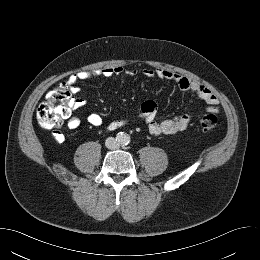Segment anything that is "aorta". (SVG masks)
<instances>
[{"label": "aorta", "mask_w": 260, "mask_h": 260, "mask_svg": "<svg viewBox=\"0 0 260 260\" xmlns=\"http://www.w3.org/2000/svg\"><path fill=\"white\" fill-rule=\"evenodd\" d=\"M129 140H130V137L126 133H121L118 135V141L122 145H126L127 143H129Z\"/></svg>", "instance_id": "obj_1"}]
</instances>
